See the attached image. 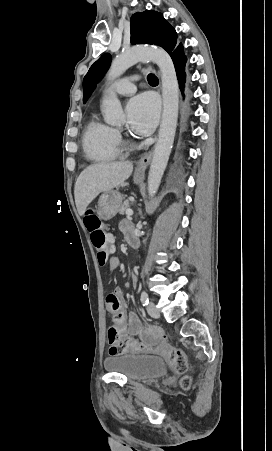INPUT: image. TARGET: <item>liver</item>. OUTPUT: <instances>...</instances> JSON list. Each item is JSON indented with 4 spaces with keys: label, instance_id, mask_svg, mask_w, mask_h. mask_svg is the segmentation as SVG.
<instances>
[{
    "label": "liver",
    "instance_id": "6515ba94",
    "mask_svg": "<svg viewBox=\"0 0 272 451\" xmlns=\"http://www.w3.org/2000/svg\"><path fill=\"white\" fill-rule=\"evenodd\" d=\"M133 172L131 162H111V164H92L81 172L75 184L74 196L79 216H84L87 206L101 192L113 190Z\"/></svg>",
    "mask_w": 272,
    "mask_h": 451
}]
</instances>
